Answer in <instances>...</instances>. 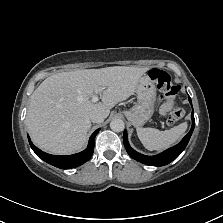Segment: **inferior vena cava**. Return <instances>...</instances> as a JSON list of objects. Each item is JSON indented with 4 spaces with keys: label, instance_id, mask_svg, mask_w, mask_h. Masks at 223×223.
I'll return each instance as SVG.
<instances>
[{
    "label": "inferior vena cava",
    "instance_id": "inferior-vena-cava-1",
    "mask_svg": "<svg viewBox=\"0 0 223 223\" xmlns=\"http://www.w3.org/2000/svg\"><path fill=\"white\" fill-rule=\"evenodd\" d=\"M90 120L94 123H101L104 121V116L100 112H92L90 114Z\"/></svg>",
    "mask_w": 223,
    "mask_h": 223
}]
</instances>
